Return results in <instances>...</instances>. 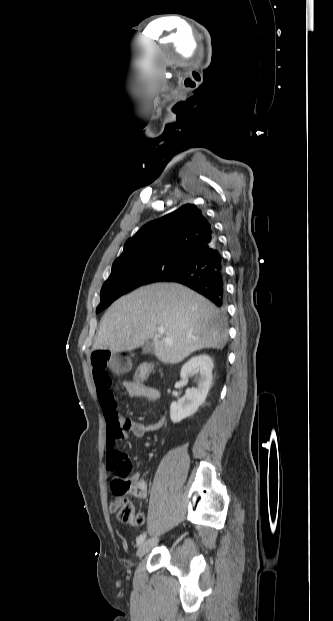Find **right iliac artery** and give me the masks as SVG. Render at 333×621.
<instances>
[{
  "instance_id": "82829eb1",
  "label": "right iliac artery",
  "mask_w": 333,
  "mask_h": 621,
  "mask_svg": "<svg viewBox=\"0 0 333 621\" xmlns=\"http://www.w3.org/2000/svg\"><path fill=\"white\" fill-rule=\"evenodd\" d=\"M145 538H146V534L145 533L140 534L138 536V538H137V545L142 544L144 542Z\"/></svg>"
}]
</instances>
